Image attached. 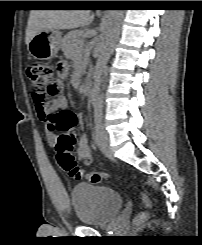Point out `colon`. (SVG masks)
Instances as JSON below:
<instances>
[{
  "label": "colon",
  "mask_w": 202,
  "mask_h": 245,
  "mask_svg": "<svg viewBox=\"0 0 202 245\" xmlns=\"http://www.w3.org/2000/svg\"><path fill=\"white\" fill-rule=\"evenodd\" d=\"M65 65L61 61L54 63L31 62L27 66V77L34 93L36 111L43 117L50 131L57 133L55 158L59 168L75 179H86L92 184H99L110 175L104 172H86L78 166L72 154L77 138L74 130L79 125V117L69 111L50 112L48 107L53 98L62 91ZM143 209L135 218V225L144 223L149 217L150 200L141 192Z\"/></svg>",
  "instance_id": "1"
}]
</instances>
